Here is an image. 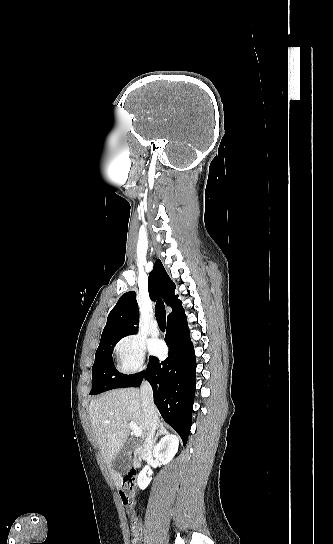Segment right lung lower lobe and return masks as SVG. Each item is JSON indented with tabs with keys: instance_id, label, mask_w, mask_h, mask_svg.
Segmentation results:
<instances>
[{
	"instance_id": "right-lung-lower-lobe-1",
	"label": "right lung lower lobe",
	"mask_w": 333,
	"mask_h": 544,
	"mask_svg": "<svg viewBox=\"0 0 333 544\" xmlns=\"http://www.w3.org/2000/svg\"><path fill=\"white\" fill-rule=\"evenodd\" d=\"M165 341L169 346L166 360L160 362L151 356L142 377L129 387H139L143 377L149 381L160 414L179 433L185 445L196 389V359L184 313L167 318Z\"/></svg>"
}]
</instances>
